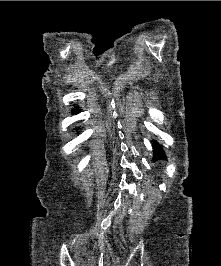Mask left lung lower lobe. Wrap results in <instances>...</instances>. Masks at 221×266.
Here are the masks:
<instances>
[{"label":"left lung lower lobe","mask_w":221,"mask_h":266,"mask_svg":"<svg viewBox=\"0 0 221 266\" xmlns=\"http://www.w3.org/2000/svg\"><path fill=\"white\" fill-rule=\"evenodd\" d=\"M153 152H154L153 160H156V158L159 156L162 158H165V156H166L164 151L159 147V145L157 143L153 144Z\"/></svg>","instance_id":"left-lung-lower-lobe-1"}]
</instances>
